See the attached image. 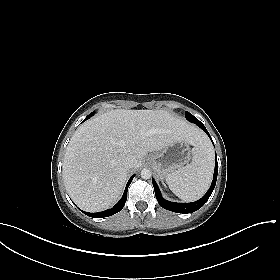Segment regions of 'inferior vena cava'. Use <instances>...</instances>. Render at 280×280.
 <instances>
[{"mask_svg":"<svg viewBox=\"0 0 280 280\" xmlns=\"http://www.w3.org/2000/svg\"><path fill=\"white\" fill-rule=\"evenodd\" d=\"M135 161V157L132 155H127L124 157L123 163L126 168H131L133 166V163Z\"/></svg>","mask_w":280,"mask_h":280,"instance_id":"inferior-vena-cava-1","label":"inferior vena cava"}]
</instances>
